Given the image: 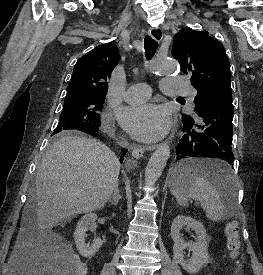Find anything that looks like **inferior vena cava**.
Masks as SVG:
<instances>
[{
    "label": "inferior vena cava",
    "instance_id": "inferior-vena-cava-1",
    "mask_svg": "<svg viewBox=\"0 0 263 275\" xmlns=\"http://www.w3.org/2000/svg\"><path fill=\"white\" fill-rule=\"evenodd\" d=\"M122 144L125 145V146L128 145L126 141L122 142Z\"/></svg>",
    "mask_w": 263,
    "mask_h": 275
}]
</instances>
